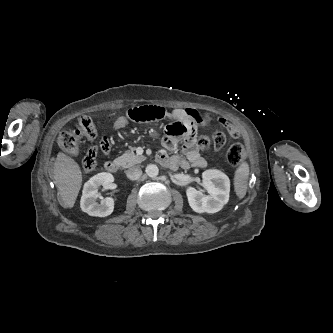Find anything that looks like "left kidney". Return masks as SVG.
I'll list each match as a JSON object with an SVG mask.
<instances>
[{"instance_id":"1","label":"left kidney","mask_w":333,"mask_h":333,"mask_svg":"<svg viewBox=\"0 0 333 333\" xmlns=\"http://www.w3.org/2000/svg\"><path fill=\"white\" fill-rule=\"evenodd\" d=\"M202 184L208 195L194 187L187 188L186 195L190 207L197 213L220 211L229 200V177L219 170L208 169L202 174Z\"/></svg>"}]
</instances>
